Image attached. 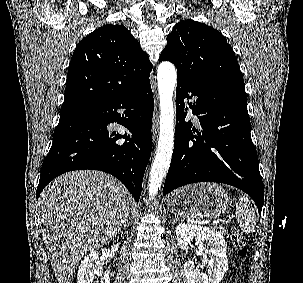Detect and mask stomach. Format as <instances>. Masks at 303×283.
Listing matches in <instances>:
<instances>
[{"label": "stomach", "instance_id": "0dacf381", "mask_svg": "<svg viewBox=\"0 0 303 283\" xmlns=\"http://www.w3.org/2000/svg\"><path fill=\"white\" fill-rule=\"evenodd\" d=\"M228 202V194L219 184L199 183L174 191L168 199V209L177 216L205 219L223 214Z\"/></svg>", "mask_w": 303, "mask_h": 283}]
</instances>
